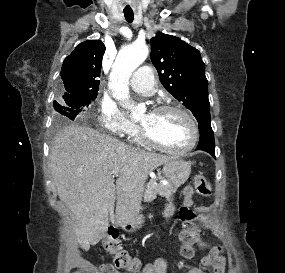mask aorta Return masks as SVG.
I'll return each instance as SVG.
<instances>
[{
    "label": "aorta",
    "mask_w": 285,
    "mask_h": 273,
    "mask_svg": "<svg viewBox=\"0 0 285 273\" xmlns=\"http://www.w3.org/2000/svg\"><path fill=\"white\" fill-rule=\"evenodd\" d=\"M148 53L147 45L138 42L123 47L118 53L109 77V87L117 100H128L129 79L133 71L146 60ZM128 108L133 117L139 116L145 110L143 105H129Z\"/></svg>",
    "instance_id": "obj_1"
}]
</instances>
